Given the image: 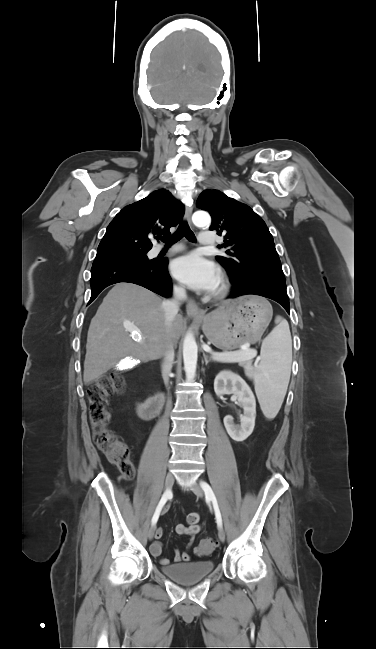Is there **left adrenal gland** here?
Wrapping results in <instances>:
<instances>
[{
	"label": "left adrenal gland",
	"instance_id": "obj_1",
	"mask_svg": "<svg viewBox=\"0 0 376 649\" xmlns=\"http://www.w3.org/2000/svg\"><path fill=\"white\" fill-rule=\"evenodd\" d=\"M203 357H204L205 364L207 365L211 361V359H208L205 353L203 354Z\"/></svg>",
	"mask_w": 376,
	"mask_h": 649
}]
</instances>
